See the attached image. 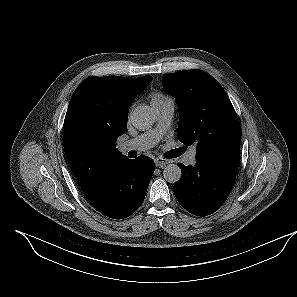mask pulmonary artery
<instances>
[{
	"label": "pulmonary artery",
	"mask_w": 297,
	"mask_h": 297,
	"mask_svg": "<svg viewBox=\"0 0 297 297\" xmlns=\"http://www.w3.org/2000/svg\"><path fill=\"white\" fill-rule=\"evenodd\" d=\"M151 105L156 115L155 128L123 142L120 145L121 152L125 153L130 150L144 151L152 148L170 127L174 116V101L170 97H166L163 100L152 102ZM195 161L196 149L191 148L185 157V163L194 164Z\"/></svg>",
	"instance_id": "e3ab8cb5"
}]
</instances>
